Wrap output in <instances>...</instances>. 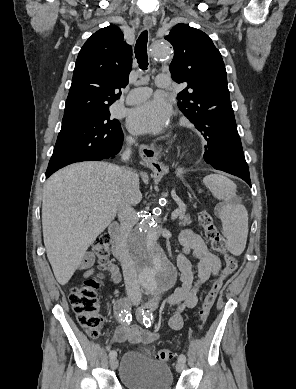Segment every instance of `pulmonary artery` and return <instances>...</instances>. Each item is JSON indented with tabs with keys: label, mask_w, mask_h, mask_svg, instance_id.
Returning a JSON list of instances; mask_svg holds the SVG:
<instances>
[{
	"label": "pulmonary artery",
	"mask_w": 296,
	"mask_h": 389,
	"mask_svg": "<svg viewBox=\"0 0 296 389\" xmlns=\"http://www.w3.org/2000/svg\"><path fill=\"white\" fill-rule=\"evenodd\" d=\"M156 85L160 88H166L170 85L169 77L160 74L156 77ZM151 95V89L148 87H137L132 89L127 95L126 102L128 104H137L143 102Z\"/></svg>",
	"instance_id": "obj_1"
}]
</instances>
